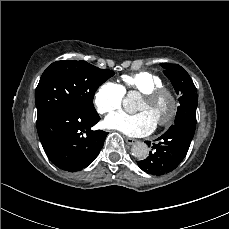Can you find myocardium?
<instances>
[{
	"label": "myocardium",
	"instance_id": "1",
	"mask_svg": "<svg viewBox=\"0 0 229 229\" xmlns=\"http://www.w3.org/2000/svg\"><path fill=\"white\" fill-rule=\"evenodd\" d=\"M143 97L150 102L159 101L164 97L169 99L171 103L169 114L164 119L157 120L156 123L161 127H169L175 122L180 110V100L173 90L162 86L145 92Z\"/></svg>",
	"mask_w": 229,
	"mask_h": 229
}]
</instances>
